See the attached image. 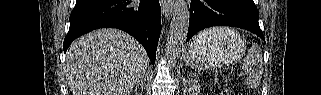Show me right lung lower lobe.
I'll list each match as a JSON object with an SVG mask.
<instances>
[{"label":"right lung lower lobe","instance_id":"1","mask_svg":"<svg viewBox=\"0 0 321 95\" xmlns=\"http://www.w3.org/2000/svg\"><path fill=\"white\" fill-rule=\"evenodd\" d=\"M70 28L63 50L77 37L94 29H121L136 38L145 48L152 64L161 32V8L158 0H77L70 15Z\"/></svg>","mask_w":321,"mask_h":95}]
</instances>
